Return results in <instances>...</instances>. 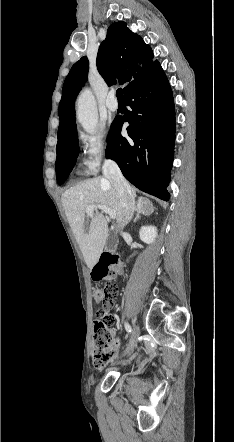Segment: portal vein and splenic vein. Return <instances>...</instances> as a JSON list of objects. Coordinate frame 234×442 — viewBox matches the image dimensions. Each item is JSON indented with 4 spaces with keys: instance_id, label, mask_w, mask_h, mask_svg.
<instances>
[{
    "instance_id": "18ae733b",
    "label": "portal vein and splenic vein",
    "mask_w": 234,
    "mask_h": 442,
    "mask_svg": "<svg viewBox=\"0 0 234 442\" xmlns=\"http://www.w3.org/2000/svg\"><path fill=\"white\" fill-rule=\"evenodd\" d=\"M94 209H100L105 214H108L110 218L115 219L116 213L109 207L102 204H91L86 208L87 215H91L94 212Z\"/></svg>"
}]
</instances>
